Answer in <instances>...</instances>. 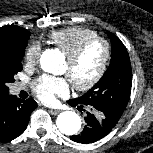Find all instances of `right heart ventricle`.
I'll use <instances>...</instances> for the list:
<instances>
[{
    "label": "right heart ventricle",
    "mask_w": 153,
    "mask_h": 153,
    "mask_svg": "<svg viewBox=\"0 0 153 153\" xmlns=\"http://www.w3.org/2000/svg\"><path fill=\"white\" fill-rule=\"evenodd\" d=\"M94 36H98V33L91 28L71 26L51 32L48 39L65 55H68L84 40Z\"/></svg>",
    "instance_id": "right-heart-ventricle-1"
}]
</instances>
